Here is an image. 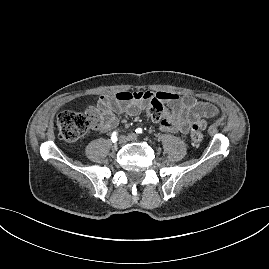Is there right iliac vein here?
<instances>
[{"mask_svg": "<svg viewBox=\"0 0 269 269\" xmlns=\"http://www.w3.org/2000/svg\"><path fill=\"white\" fill-rule=\"evenodd\" d=\"M126 142V137L125 136H121L119 138V143L122 144V143H125Z\"/></svg>", "mask_w": 269, "mask_h": 269, "instance_id": "obj_1", "label": "right iliac vein"}]
</instances>
